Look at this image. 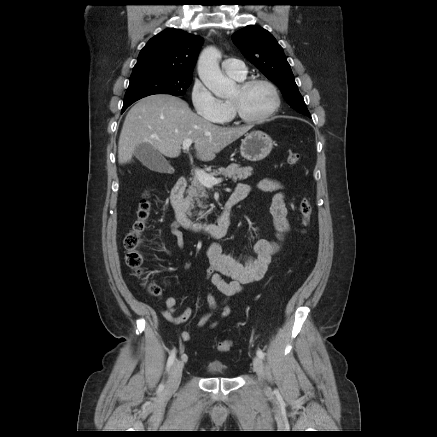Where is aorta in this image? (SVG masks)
I'll return each mask as SVG.
<instances>
[{
    "label": "aorta",
    "mask_w": 437,
    "mask_h": 437,
    "mask_svg": "<svg viewBox=\"0 0 437 437\" xmlns=\"http://www.w3.org/2000/svg\"><path fill=\"white\" fill-rule=\"evenodd\" d=\"M221 53L215 47L205 48L198 59V75L204 85L217 97H227L234 93L236 84L225 77L220 69Z\"/></svg>",
    "instance_id": "1"
}]
</instances>
